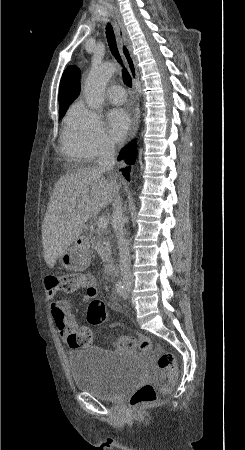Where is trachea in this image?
Instances as JSON below:
<instances>
[{
    "label": "trachea",
    "mask_w": 245,
    "mask_h": 450,
    "mask_svg": "<svg viewBox=\"0 0 245 450\" xmlns=\"http://www.w3.org/2000/svg\"><path fill=\"white\" fill-rule=\"evenodd\" d=\"M106 37H107V41H108L109 47H110L114 57L116 58L118 63L122 66V76H123L124 83L128 87H132L131 76L128 73L127 69L123 65V62L121 60V57H120V54H119V51H118V48H117L114 31H113V28H112V26L110 24L106 26Z\"/></svg>",
    "instance_id": "obj_1"
}]
</instances>
